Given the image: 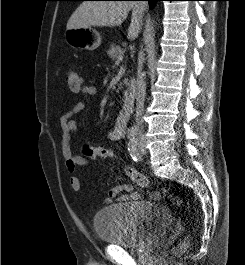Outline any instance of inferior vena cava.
Instances as JSON below:
<instances>
[{
    "mask_svg": "<svg viewBox=\"0 0 245 265\" xmlns=\"http://www.w3.org/2000/svg\"><path fill=\"white\" fill-rule=\"evenodd\" d=\"M142 5V8L145 9L147 7L146 2H140ZM142 66H143V55L142 52L139 54V64L137 67V81H136V114H135V122L136 126L135 128L141 133L143 126H142V114L144 111V101H145V95H146V82L144 79V76L142 74Z\"/></svg>",
    "mask_w": 245,
    "mask_h": 265,
    "instance_id": "obj_1",
    "label": "inferior vena cava"
}]
</instances>
